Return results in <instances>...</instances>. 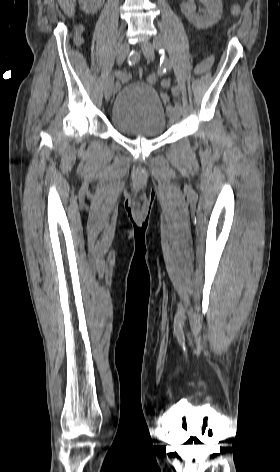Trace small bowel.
<instances>
[{"label":"small bowel","mask_w":280,"mask_h":472,"mask_svg":"<svg viewBox=\"0 0 280 472\" xmlns=\"http://www.w3.org/2000/svg\"><path fill=\"white\" fill-rule=\"evenodd\" d=\"M82 31H83V27L82 26L78 27L77 33H76V38H75L76 44H78V45L81 44V41H82V39H81ZM212 63H213V60L210 57L206 58L205 60L200 62L195 68L196 74H202V73L206 72L211 67ZM169 85H170V81L168 79H165L161 82L162 87H168ZM161 97L165 101H167L169 99V96L164 92L161 94Z\"/></svg>","instance_id":"small-bowel-1"}]
</instances>
